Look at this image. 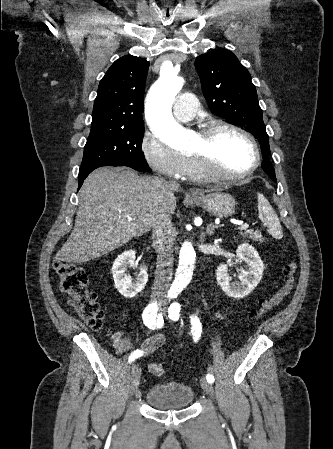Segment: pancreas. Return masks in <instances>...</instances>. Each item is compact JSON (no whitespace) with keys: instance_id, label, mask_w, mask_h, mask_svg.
<instances>
[{"instance_id":"pancreas-1","label":"pancreas","mask_w":333,"mask_h":449,"mask_svg":"<svg viewBox=\"0 0 333 449\" xmlns=\"http://www.w3.org/2000/svg\"><path fill=\"white\" fill-rule=\"evenodd\" d=\"M244 235H246L248 238L252 239L255 242H263L262 235L260 231L258 230H247Z\"/></svg>"}]
</instances>
